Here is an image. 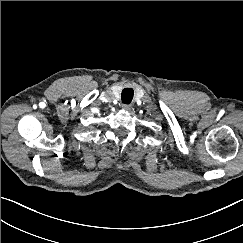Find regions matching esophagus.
<instances>
[{"label": "esophagus", "instance_id": "obj_1", "mask_svg": "<svg viewBox=\"0 0 243 243\" xmlns=\"http://www.w3.org/2000/svg\"><path fill=\"white\" fill-rule=\"evenodd\" d=\"M122 109L125 110V111H129L131 109V105H129V104H123L122 105Z\"/></svg>", "mask_w": 243, "mask_h": 243}]
</instances>
